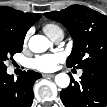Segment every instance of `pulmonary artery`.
<instances>
[{"instance_id":"1","label":"pulmonary artery","mask_w":107,"mask_h":107,"mask_svg":"<svg viewBox=\"0 0 107 107\" xmlns=\"http://www.w3.org/2000/svg\"><path fill=\"white\" fill-rule=\"evenodd\" d=\"M63 37H64V34H59V35H57L54 39H53V41H55V42H60L62 39H63ZM81 74V73H80Z\"/></svg>"}]
</instances>
